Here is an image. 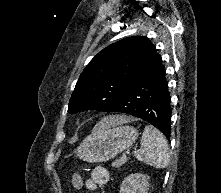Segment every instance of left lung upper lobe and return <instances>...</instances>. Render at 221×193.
Returning a JSON list of instances; mask_svg holds the SVG:
<instances>
[{"mask_svg":"<svg viewBox=\"0 0 221 193\" xmlns=\"http://www.w3.org/2000/svg\"><path fill=\"white\" fill-rule=\"evenodd\" d=\"M147 37L122 39L100 51L80 75L69 102V113L107 110L126 93L130 84L159 59Z\"/></svg>","mask_w":221,"mask_h":193,"instance_id":"obj_1","label":"left lung upper lobe"}]
</instances>
